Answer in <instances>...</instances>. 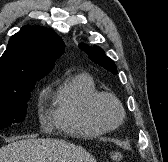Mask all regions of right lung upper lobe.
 <instances>
[{
	"label": "right lung upper lobe",
	"mask_w": 168,
	"mask_h": 162,
	"mask_svg": "<svg viewBox=\"0 0 168 162\" xmlns=\"http://www.w3.org/2000/svg\"><path fill=\"white\" fill-rule=\"evenodd\" d=\"M64 43L51 29L24 26L13 35L0 58V89L27 80H40L53 68Z\"/></svg>",
	"instance_id": "obj_1"
}]
</instances>
